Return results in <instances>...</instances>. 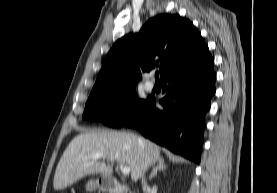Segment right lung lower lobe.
<instances>
[{
    "label": "right lung lower lobe",
    "mask_w": 277,
    "mask_h": 193,
    "mask_svg": "<svg viewBox=\"0 0 277 193\" xmlns=\"http://www.w3.org/2000/svg\"><path fill=\"white\" fill-rule=\"evenodd\" d=\"M213 64L207 47L190 62L169 72L162 79L167 83L163 90L167 95L160 100L163 109L155 108V99L149 97L123 126L137 128L145 137L199 163L205 114L215 94Z\"/></svg>",
    "instance_id": "98d812e1"
}]
</instances>
